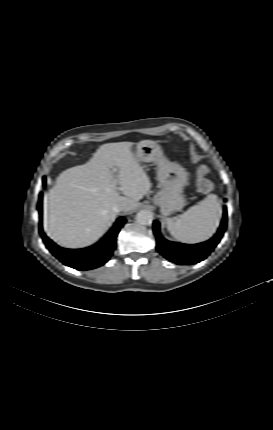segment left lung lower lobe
<instances>
[{"mask_svg":"<svg viewBox=\"0 0 273 430\" xmlns=\"http://www.w3.org/2000/svg\"><path fill=\"white\" fill-rule=\"evenodd\" d=\"M227 225V208L223 209V219L216 235L210 240L194 244H181L164 239L160 233L159 223L154 221L153 231L157 240V250L166 259L179 264L190 265L204 260L221 240Z\"/></svg>","mask_w":273,"mask_h":430,"instance_id":"left-lung-lower-lobe-1","label":"left lung lower lobe"}]
</instances>
